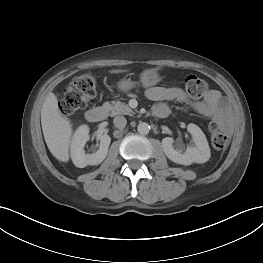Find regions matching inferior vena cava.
Returning <instances> with one entry per match:
<instances>
[{"label":"inferior vena cava","instance_id":"1","mask_svg":"<svg viewBox=\"0 0 263 263\" xmlns=\"http://www.w3.org/2000/svg\"><path fill=\"white\" fill-rule=\"evenodd\" d=\"M113 124L119 128V129H122L126 126L127 124V120L124 116H116L114 117L113 119Z\"/></svg>","mask_w":263,"mask_h":263}]
</instances>
